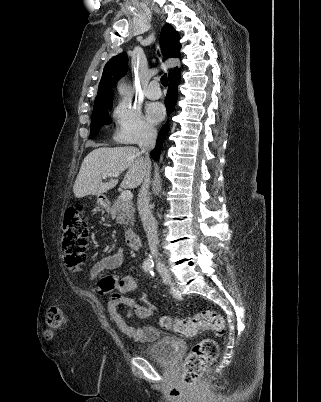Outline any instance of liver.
<instances>
[{
	"mask_svg": "<svg viewBox=\"0 0 321 402\" xmlns=\"http://www.w3.org/2000/svg\"><path fill=\"white\" fill-rule=\"evenodd\" d=\"M127 170L121 183L122 188H136L145 178L146 163L138 148L99 147L91 151L83 160L73 186L76 198L87 195H101L114 188L118 179L102 182L104 173H122Z\"/></svg>",
	"mask_w": 321,
	"mask_h": 402,
	"instance_id": "6515ba94",
	"label": "liver"
}]
</instances>
